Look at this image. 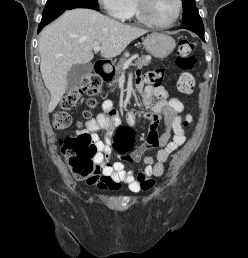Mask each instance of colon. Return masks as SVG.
Wrapping results in <instances>:
<instances>
[{
	"label": "colon",
	"instance_id": "obj_1",
	"mask_svg": "<svg viewBox=\"0 0 248 258\" xmlns=\"http://www.w3.org/2000/svg\"><path fill=\"white\" fill-rule=\"evenodd\" d=\"M193 43L187 39L179 41L177 50V66L184 70L177 80L178 90L185 95L194 91L195 79L188 70H191L196 63L193 56ZM164 74L161 70H150L145 75V81L149 85L158 86L163 80ZM101 88V79L96 74L84 76L60 102V110L54 114L53 125L56 129H65L71 124V117L68 111L72 110L82 95L90 98V107L96 106L94 97ZM91 113L87 111L85 116L89 118ZM192 121L190 115H186L183 126L187 127ZM115 144L119 154L126 155L132 144V131L128 127H121L115 135ZM61 151L66 158L73 175L79 180L99 179V170L94 165V158L97 154L96 144L90 134L81 132L76 135H69L60 140Z\"/></svg>",
	"mask_w": 248,
	"mask_h": 258
}]
</instances>
